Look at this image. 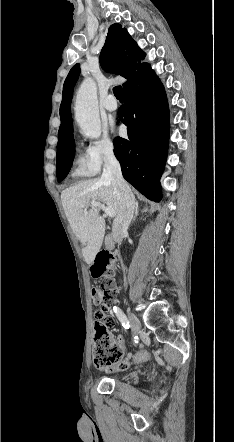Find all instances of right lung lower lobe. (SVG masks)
<instances>
[{"label":"right lung lower lobe","mask_w":234,"mask_h":442,"mask_svg":"<svg viewBox=\"0 0 234 442\" xmlns=\"http://www.w3.org/2000/svg\"><path fill=\"white\" fill-rule=\"evenodd\" d=\"M125 106L119 120L127 126L128 139H114L115 156L123 177L153 201L161 200L160 177L169 140V109L162 83L149 68L124 88Z\"/></svg>","instance_id":"right-lung-lower-lobe-1"}]
</instances>
